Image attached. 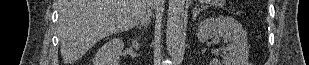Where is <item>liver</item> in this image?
Segmentation results:
<instances>
[{
  "mask_svg": "<svg viewBox=\"0 0 309 65\" xmlns=\"http://www.w3.org/2000/svg\"><path fill=\"white\" fill-rule=\"evenodd\" d=\"M150 0H58L64 63L81 58L99 40L134 28Z\"/></svg>",
  "mask_w": 309,
  "mask_h": 65,
  "instance_id": "obj_1",
  "label": "liver"
}]
</instances>
